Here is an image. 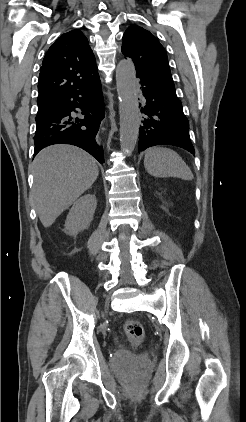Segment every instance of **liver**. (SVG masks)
<instances>
[{"label":"liver","instance_id":"1","mask_svg":"<svg viewBox=\"0 0 246 422\" xmlns=\"http://www.w3.org/2000/svg\"><path fill=\"white\" fill-rule=\"evenodd\" d=\"M94 158L72 145H52L33 161L31 198L44 227H50L96 181Z\"/></svg>","mask_w":246,"mask_h":422}]
</instances>
